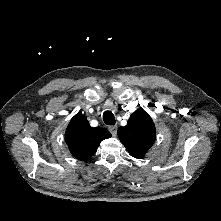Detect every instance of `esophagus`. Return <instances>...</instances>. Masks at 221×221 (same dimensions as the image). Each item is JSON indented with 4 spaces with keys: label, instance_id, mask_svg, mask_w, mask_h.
Returning <instances> with one entry per match:
<instances>
[{
    "label": "esophagus",
    "instance_id": "34e87169",
    "mask_svg": "<svg viewBox=\"0 0 221 221\" xmlns=\"http://www.w3.org/2000/svg\"><path fill=\"white\" fill-rule=\"evenodd\" d=\"M109 131L111 132V134H112L113 136H116V134H117V126H116V125L110 126V127H109Z\"/></svg>",
    "mask_w": 221,
    "mask_h": 221
}]
</instances>
